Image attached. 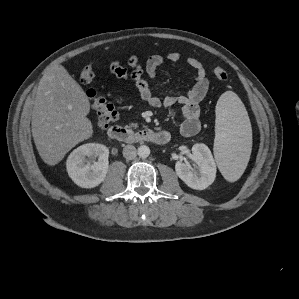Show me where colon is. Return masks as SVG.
Here are the masks:
<instances>
[{
  "instance_id": "colon-1",
  "label": "colon",
  "mask_w": 299,
  "mask_h": 299,
  "mask_svg": "<svg viewBox=\"0 0 299 299\" xmlns=\"http://www.w3.org/2000/svg\"><path fill=\"white\" fill-rule=\"evenodd\" d=\"M213 74L217 79L221 81H225L228 79L227 72L220 67L214 68ZM94 77L95 73L91 65L85 66L80 73V81L85 85L90 84L93 81ZM87 96L89 97L92 108L97 114L99 127L102 129L108 128L110 124L114 122L118 117V113L115 107L104 97L99 96L94 89H88Z\"/></svg>"
}]
</instances>
